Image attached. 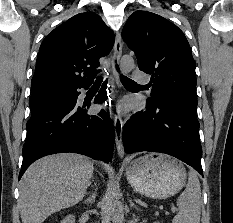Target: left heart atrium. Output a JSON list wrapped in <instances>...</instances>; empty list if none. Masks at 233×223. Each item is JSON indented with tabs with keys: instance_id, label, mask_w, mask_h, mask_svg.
<instances>
[{
	"instance_id": "1",
	"label": "left heart atrium",
	"mask_w": 233,
	"mask_h": 223,
	"mask_svg": "<svg viewBox=\"0 0 233 223\" xmlns=\"http://www.w3.org/2000/svg\"><path fill=\"white\" fill-rule=\"evenodd\" d=\"M127 109H128V106L125 101H120L116 105V110L121 114H124L127 111Z\"/></svg>"
}]
</instances>
